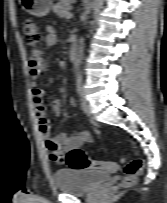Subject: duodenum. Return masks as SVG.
<instances>
[{
	"label": "duodenum",
	"mask_w": 167,
	"mask_h": 203,
	"mask_svg": "<svg viewBox=\"0 0 167 203\" xmlns=\"http://www.w3.org/2000/svg\"><path fill=\"white\" fill-rule=\"evenodd\" d=\"M76 53H77V44H76V41H73L71 46H70L69 52H68V58L70 61L75 60Z\"/></svg>",
	"instance_id": "1"
}]
</instances>
